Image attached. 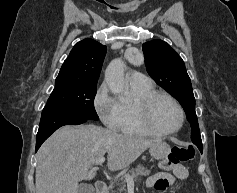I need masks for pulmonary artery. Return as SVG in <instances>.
<instances>
[{
    "instance_id": "obj_1",
    "label": "pulmonary artery",
    "mask_w": 237,
    "mask_h": 193,
    "mask_svg": "<svg viewBox=\"0 0 237 193\" xmlns=\"http://www.w3.org/2000/svg\"><path fill=\"white\" fill-rule=\"evenodd\" d=\"M129 81L133 85H149L151 79L139 72H133L129 75Z\"/></svg>"
}]
</instances>
